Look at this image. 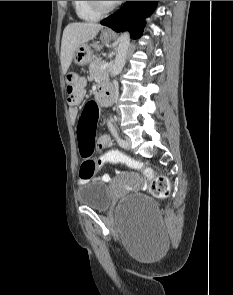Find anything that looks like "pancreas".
I'll return each instance as SVG.
<instances>
[{
	"mask_svg": "<svg viewBox=\"0 0 233 295\" xmlns=\"http://www.w3.org/2000/svg\"><path fill=\"white\" fill-rule=\"evenodd\" d=\"M103 64L104 62L102 61L101 58H95L92 60V62L89 65L90 77L92 79H98L102 75L106 74L107 69L100 70V66Z\"/></svg>",
	"mask_w": 233,
	"mask_h": 295,
	"instance_id": "pancreas-1",
	"label": "pancreas"
}]
</instances>
